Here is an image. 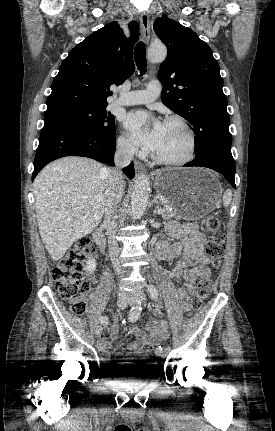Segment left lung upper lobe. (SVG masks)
<instances>
[{"mask_svg": "<svg viewBox=\"0 0 275 431\" xmlns=\"http://www.w3.org/2000/svg\"><path fill=\"white\" fill-rule=\"evenodd\" d=\"M154 30L168 48L158 71L161 100L192 125L196 155L230 148L227 98L211 48L190 28L166 16L155 21Z\"/></svg>", "mask_w": 275, "mask_h": 431, "instance_id": "obj_1", "label": "left lung upper lobe"}]
</instances>
